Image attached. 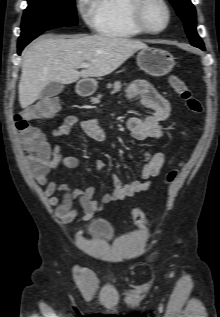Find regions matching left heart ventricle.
<instances>
[{"label":"left heart ventricle","instance_id":"1","mask_svg":"<svg viewBox=\"0 0 220 317\" xmlns=\"http://www.w3.org/2000/svg\"><path fill=\"white\" fill-rule=\"evenodd\" d=\"M145 20L154 29L162 28L166 23V12L158 2H150L145 9Z\"/></svg>","mask_w":220,"mask_h":317}]
</instances>
